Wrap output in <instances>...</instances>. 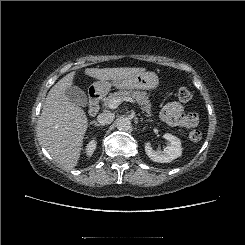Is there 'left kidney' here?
<instances>
[{"label":"left kidney","mask_w":245,"mask_h":245,"mask_svg":"<svg viewBox=\"0 0 245 245\" xmlns=\"http://www.w3.org/2000/svg\"><path fill=\"white\" fill-rule=\"evenodd\" d=\"M163 137L169 142L163 151H155L152 149L150 142L145 143V152L147 156L154 162L169 163L178 158L182 154L181 141L176 136L166 133Z\"/></svg>","instance_id":"obj_1"}]
</instances>
